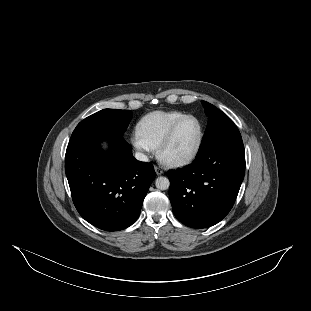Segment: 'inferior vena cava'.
I'll return each mask as SVG.
<instances>
[{
	"mask_svg": "<svg viewBox=\"0 0 311 311\" xmlns=\"http://www.w3.org/2000/svg\"><path fill=\"white\" fill-rule=\"evenodd\" d=\"M135 159L142 162H148V156L141 152L135 153Z\"/></svg>",
	"mask_w": 311,
	"mask_h": 311,
	"instance_id": "1",
	"label": "inferior vena cava"
}]
</instances>
